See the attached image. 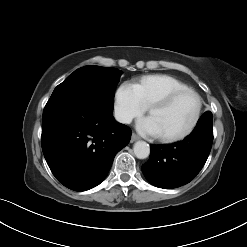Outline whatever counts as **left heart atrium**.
Listing matches in <instances>:
<instances>
[{
  "instance_id": "obj_1",
  "label": "left heart atrium",
  "mask_w": 247,
  "mask_h": 247,
  "mask_svg": "<svg viewBox=\"0 0 247 247\" xmlns=\"http://www.w3.org/2000/svg\"><path fill=\"white\" fill-rule=\"evenodd\" d=\"M136 128L142 135L145 136L156 137L160 135L151 117L140 119L136 124Z\"/></svg>"
}]
</instances>
